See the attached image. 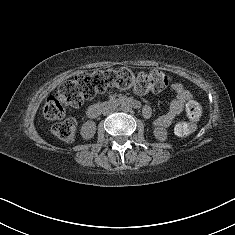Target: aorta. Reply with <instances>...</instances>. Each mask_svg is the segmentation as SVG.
<instances>
[{
    "instance_id": "1",
    "label": "aorta",
    "mask_w": 235,
    "mask_h": 235,
    "mask_svg": "<svg viewBox=\"0 0 235 235\" xmlns=\"http://www.w3.org/2000/svg\"><path fill=\"white\" fill-rule=\"evenodd\" d=\"M123 111H129L130 110V105L127 103L122 104L121 106Z\"/></svg>"
}]
</instances>
